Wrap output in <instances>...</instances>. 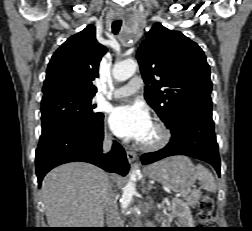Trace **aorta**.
Returning a JSON list of instances; mask_svg holds the SVG:
<instances>
[{"label":"aorta","mask_w":252,"mask_h":231,"mask_svg":"<svg viewBox=\"0 0 252 231\" xmlns=\"http://www.w3.org/2000/svg\"><path fill=\"white\" fill-rule=\"evenodd\" d=\"M138 68L137 62L134 60H125L119 63H116L113 67L112 73L113 77L117 81H125L132 77ZM140 173L138 166L135 165L131 174L128 183L124 187L123 194L121 197V207L123 209L128 208L131 203L132 197L136 192V177Z\"/></svg>","instance_id":"1"}]
</instances>
